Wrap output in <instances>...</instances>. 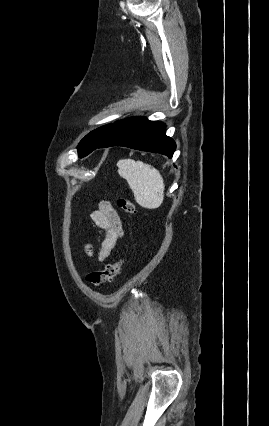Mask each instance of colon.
Here are the masks:
<instances>
[{"label":"colon","instance_id":"5ec220e1","mask_svg":"<svg viewBox=\"0 0 269 426\" xmlns=\"http://www.w3.org/2000/svg\"><path fill=\"white\" fill-rule=\"evenodd\" d=\"M117 206L126 214H134L136 210L134 202L128 198H119L117 200ZM124 264L125 259L106 264L102 270L89 272L86 276V280L93 286H101L117 277Z\"/></svg>","mask_w":269,"mask_h":426}]
</instances>
